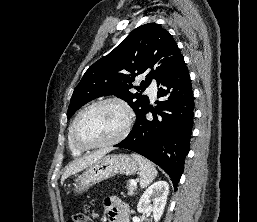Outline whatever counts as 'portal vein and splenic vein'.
<instances>
[{
    "label": "portal vein and splenic vein",
    "instance_id": "1",
    "mask_svg": "<svg viewBox=\"0 0 257 222\" xmlns=\"http://www.w3.org/2000/svg\"><path fill=\"white\" fill-rule=\"evenodd\" d=\"M130 184L133 185V186H136L137 185V182L135 180H131L130 181Z\"/></svg>",
    "mask_w": 257,
    "mask_h": 222
}]
</instances>
